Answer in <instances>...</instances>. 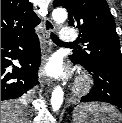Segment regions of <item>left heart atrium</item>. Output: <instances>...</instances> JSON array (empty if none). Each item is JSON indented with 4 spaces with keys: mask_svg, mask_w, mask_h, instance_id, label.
I'll return each mask as SVG.
<instances>
[{
    "mask_svg": "<svg viewBox=\"0 0 122 123\" xmlns=\"http://www.w3.org/2000/svg\"><path fill=\"white\" fill-rule=\"evenodd\" d=\"M46 75L51 77H59L65 74L64 68L59 58H52L44 67Z\"/></svg>",
    "mask_w": 122,
    "mask_h": 123,
    "instance_id": "obj_1",
    "label": "left heart atrium"
}]
</instances>
